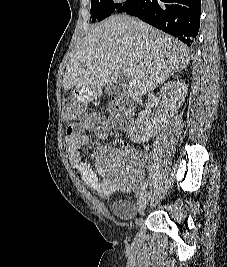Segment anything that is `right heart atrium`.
Listing matches in <instances>:
<instances>
[{
	"label": "right heart atrium",
	"mask_w": 227,
	"mask_h": 267,
	"mask_svg": "<svg viewBox=\"0 0 227 267\" xmlns=\"http://www.w3.org/2000/svg\"><path fill=\"white\" fill-rule=\"evenodd\" d=\"M127 0H113L114 3H117V4H123L125 3Z\"/></svg>",
	"instance_id": "obj_1"
}]
</instances>
